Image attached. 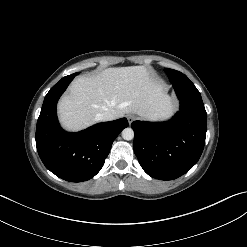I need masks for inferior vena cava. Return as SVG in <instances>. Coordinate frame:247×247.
<instances>
[{"mask_svg": "<svg viewBox=\"0 0 247 247\" xmlns=\"http://www.w3.org/2000/svg\"><path fill=\"white\" fill-rule=\"evenodd\" d=\"M98 121H112L115 119V116L111 112L99 113L96 116Z\"/></svg>", "mask_w": 247, "mask_h": 247, "instance_id": "obj_1", "label": "inferior vena cava"}]
</instances>
